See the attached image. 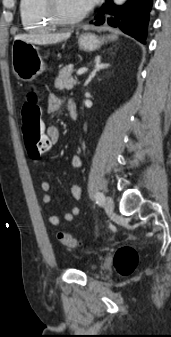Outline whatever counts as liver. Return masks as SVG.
Listing matches in <instances>:
<instances>
[{"instance_id":"6515ba94","label":"liver","mask_w":171,"mask_h":337,"mask_svg":"<svg viewBox=\"0 0 171 337\" xmlns=\"http://www.w3.org/2000/svg\"><path fill=\"white\" fill-rule=\"evenodd\" d=\"M71 33H41L16 35L14 40H22L28 43L46 45L53 44L68 39Z\"/></svg>"}]
</instances>
